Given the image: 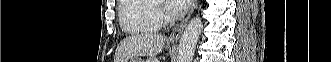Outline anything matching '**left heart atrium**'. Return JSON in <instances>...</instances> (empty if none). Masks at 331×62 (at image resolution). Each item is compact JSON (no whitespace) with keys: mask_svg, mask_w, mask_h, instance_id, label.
I'll return each mask as SVG.
<instances>
[{"mask_svg":"<svg viewBox=\"0 0 331 62\" xmlns=\"http://www.w3.org/2000/svg\"><path fill=\"white\" fill-rule=\"evenodd\" d=\"M167 3H168V9L173 14H181L188 9L191 0H168Z\"/></svg>","mask_w":331,"mask_h":62,"instance_id":"left-heart-atrium-1","label":"left heart atrium"}]
</instances>
